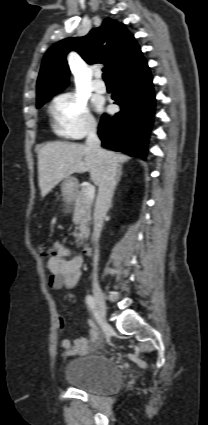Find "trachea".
Returning a JSON list of instances; mask_svg holds the SVG:
<instances>
[{
    "label": "trachea",
    "mask_w": 208,
    "mask_h": 425,
    "mask_svg": "<svg viewBox=\"0 0 208 425\" xmlns=\"http://www.w3.org/2000/svg\"><path fill=\"white\" fill-rule=\"evenodd\" d=\"M102 77H103V80H104L105 82H110V79H109V77L107 76V74H106V73H103Z\"/></svg>",
    "instance_id": "3493384b"
}]
</instances>
